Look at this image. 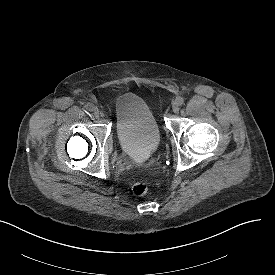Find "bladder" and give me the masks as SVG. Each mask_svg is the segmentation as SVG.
Wrapping results in <instances>:
<instances>
[{
	"mask_svg": "<svg viewBox=\"0 0 275 275\" xmlns=\"http://www.w3.org/2000/svg\"><path fill=\"white\" fill-rule=\"evenodd\" d=\"M114 110L121 150L134 160H147L160 144V131L148 104L135 93H123Z\"/></svg>",
	"mask_w": 275,
	"mask_h": 275,
	"instance_id": "obj_1",
	"label": "bladder"
}]
</instances>
